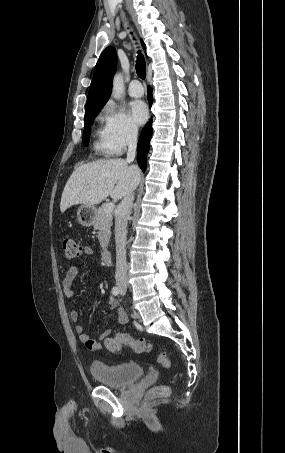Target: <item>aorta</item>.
Wrapping results in <instances>:
<instances>
[{"label":"aorta","instance_id":"1","mask_svg":"<svg viewBox=\"0 0 285 453\" xmlns=\"http://www.w3.org/2000/svg\"><path fill=\"white\" fill-rule=\"evenodd\" d=\"M124 92V80L122 74H116L113 79L112 96L115 99H120Z\"/></svg>","mask_w":285,"mask_h":453}]
</instances>
